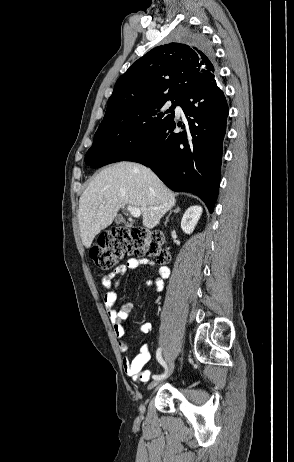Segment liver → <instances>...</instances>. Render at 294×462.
I'll use <instances>...</instances> for the list:
<instances>
[{
	"mask_svg": "<svg viewBox=\"0 0 294 462\" xmlns=\"http://www.w3.org/2000/svg\"><path fill=\"white\" fill-rule=\"evenodd\" d=\"M175 203V194L145 166L132 162L110 165L96 175L80 197L82 243L90 248L95 236L110 226L126 205L139 208L143 226L152 229Z\"/></svg>",
	"mask_w": 294,
	"mask_h": 462,
	"instance_id": "6515ba94",
	"label": "liver"
}]
</instances>
